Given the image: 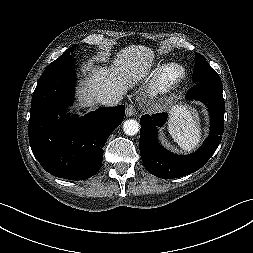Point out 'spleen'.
<instances>
[{
	"instance_id": "obj_1",
	"label": "spleen",
	"mask_w": 253,
	"mask_h": 253,
	"mask_svg": "<svg viewBox=\"0 0 253 253\" xmlns=\"http://www.w3.org/2000/svg\"><path fill=\"white\" fill-rule=\"evenodd\" d=\"M169 134L184 151L194 150L201 141L199 117L185 109H179L168 125Z\"/></svg>"
}]
</instances>
